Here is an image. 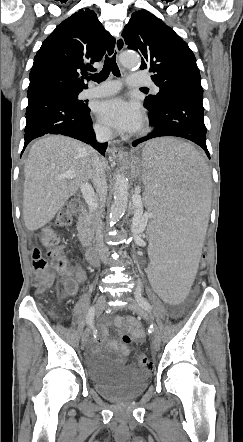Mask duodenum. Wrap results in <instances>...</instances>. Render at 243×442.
I'll list each match as a JSON object with an SVG mask.
<instances>
[{"mask_svg":"<svg viewBox=\"0 0 243 442\" xmlns=\"http://www.w3.org/2000/svg\"><path fill=\"white\" fill-rule=\"evenodd\" d=\"M73 207L75 211H79L81 208V204L79 202H74ZM85 259L90 264L99 263L98 254L96 250L92 247H87L85 251Z\"/></svg>","mask_w":243,"mask_h":442,"instance_id":"1","label":"duodenum"}]
</instances>
